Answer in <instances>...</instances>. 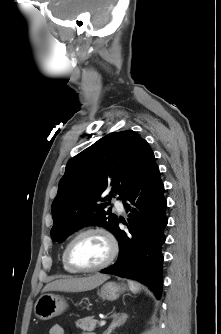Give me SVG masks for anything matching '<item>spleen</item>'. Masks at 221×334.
<instances>
[{
    "instance_id": "1",
    "label": "spleen",
    "mask_w": 221,
    "mask_h": 334,
    "mask_svg": "<svg viewBox=\"0 0 221 334\" xmlns=\"http://www.w3.org/2000/svg\"><path fill=\"white\" fill-rule=\"evenodd\" d=\"M129 289L133 292V293H137L139 290L138 285L133 282V281H129Z\"/></svg>"
}]
</instances>
